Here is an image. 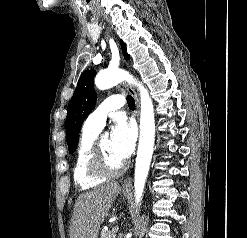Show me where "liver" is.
I'll list each match as a JSON object with an SVG mask.
<instances>
[{"label":"liver","instance_id":"1","mask_svg":"<svg viewBox=\"0 0 247 238\" xmlns=\"http://www.w3.org/2000/svg\"><path fill=\"white\" fill-rule=\"evenodd\" d=\"M120 191L119 183L113 182L81 194L74 205L70 238H98L100 226Z\"/></svg>","mask_w":247,"mask_h":238}]
</instances>
